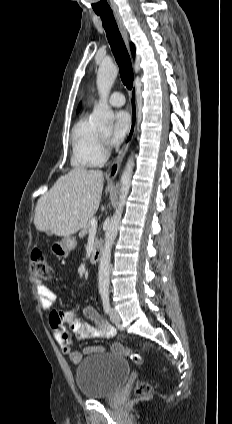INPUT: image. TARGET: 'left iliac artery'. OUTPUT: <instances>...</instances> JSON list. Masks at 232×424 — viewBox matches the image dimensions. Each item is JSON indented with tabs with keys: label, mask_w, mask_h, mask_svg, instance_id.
Listing matches in <instances>:
<instances>
[{
	"label": "left iliac artery",
	"mask_w": 232,
	"mask_h": 424,
	"mask_svg": "<svg viewBox=\"0 0 232 424\" xmlns=\"http://www.w3.org/2000/svg\"><path fill=\"white\" fill-rule=\"evenodd\" d=\"M102 297V302H103V308L105 310V312L108 314L110 311V301H109V294L108 293H103L101 295Z\"/></svg>",
	"instance_id": "obj_1"
}]
</instances>
